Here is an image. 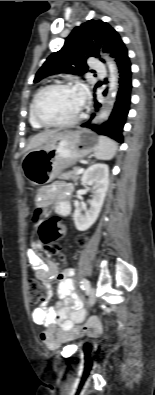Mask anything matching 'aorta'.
I'll list each match as a JSON object with an SVG mask.
<instances>
[{
    "instance_id": "762f6f07",
    "label": "aorta",
    "mask_w": 155,
    "mask_h": 395,
    "mask_svg": "<svg viewBox=\"0 0 155 395\" xmlns=\"http://www.w3.org/2000/svg\"><path fill=\"white\" fill-rule=\"evenodd\" d=\"M108 70H109V92L111 97H115L117 91V67L111 60H107ZM109 104H113V101H110ZM110 111L108 108L103 109L99 114V120L105 119L109 116Z\"/></svg>"
}]
</instances>
